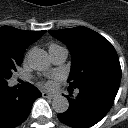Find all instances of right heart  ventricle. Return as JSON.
<instances>
[{
	"mask_svg": "<svg viewBox=\"0 0 128 128\" xmlns=\"http://www.w3.org/2000/svg\"><path fill=\"white\" fill-rule=\"evenodd\" d=\"M59 47H61V46L52 43V44L49 45V52L52 51V50H54V49H56V48H59Z\"/></svg>",
	"mask_w": 128,
	"mask_h": 128,
	"instance_id": "obj_1",
	"label": "right heart ventricle"
}]
</instances>
